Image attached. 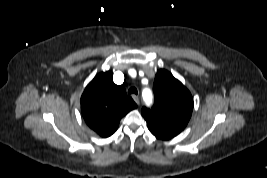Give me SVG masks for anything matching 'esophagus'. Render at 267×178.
Returning <instances> with one entry per match:
<instances>
[{
    "label": "esophagus",
    "mask_w": 267,
    "mask_h": 178,
    "mask_svg": "<svg viewBox=\"0 0 267 178\" xmlns=\"http://www.w3.org/2000/svg\"><path fill=\"white\" fill-rule=\"evenodd\" d=\"M132 98L135 101V103L139 105L140 99L138 98V96L133 95Z\"/></svg>",
    "instance_id": "1"
}]
</instances>
